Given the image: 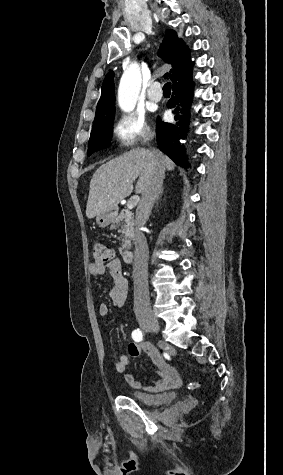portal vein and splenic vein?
Masks as SVG:
<instances>
[{"mask_svg": "<svg viewBox=\"0 0 283 475\" xmlns=\"http://www.w3.org/2000/svg\"><path fill=\"white\" fill-rule=\"evenodd\" d=\"M135 202H138L139 200V196H133ZM131 206H133V200H129L128 202V208H131Z\"/></svg>", "mask_w": 283, "mask_h": 475, "instance_id": "obj_1", "label": "portal vein and splenic vein"}]
</instances>
